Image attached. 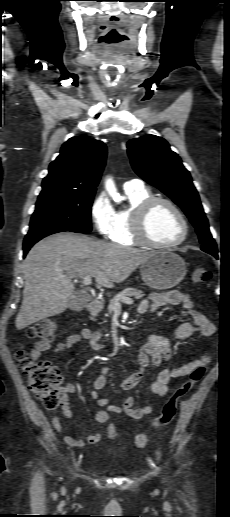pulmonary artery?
Segmentation results:
<instances>
[{"label": "pulmonary artery", "instance_id": "1", "mask_svg": "<svg viewBox=\"0 0 230 517\" xmlns=\"http://www.w3.org/2000/svg\"><path fill=\"white\" fill-rule=\"evenodd\" d=\"M144 187V184L139 179H132L124 183L123 188L124 190H133V189H142Z\"/></svg>", "mask_w": 230, "mask_h": 517}]
</instances>
